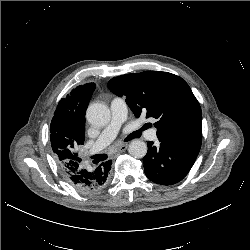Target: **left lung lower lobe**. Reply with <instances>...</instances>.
I'll return each instance as SVG.
<instances>
[{
	"label": "left lung lower lobe",
	"instance_id": "obj_1",
	"mask_svg": "<svg viewBox=\"0 0 250 250\" xmlns=\"http://www.w3.org/2000/svg\"><path fill=\"white\" fill-rule=\"evenodd\" d=\"M159 145L148 142V151L143 158L148 179L160 185L181 181L193 166L200 147L159 140Z\"/></svg>",
	"mask_w": 250,
	"mask_h": 250
}]
</instances>
